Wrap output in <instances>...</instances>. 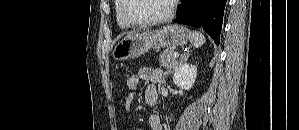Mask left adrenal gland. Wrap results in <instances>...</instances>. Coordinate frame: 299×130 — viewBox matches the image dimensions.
I'll use <instances>...</instances> for the list:
<instances>
[{
	"label": "left adrenal gland",
	"mask_w": 299,
	"mask_h": 130,
	"mask_svg": "<svg viewBox=\"0 0 299 130\" xmlns=\"http://www.w3.org/2000/svg\"><path fill=\"white\" fill-rule=\"evenodd\" d=\"M189 52H185L184 54H182L180 56V62H185L188 58H189ZM172 71H168L167 73H165V76L170 74Z\"/></svg>",
	"instance_id": "a2214340"
}]
</instances>
